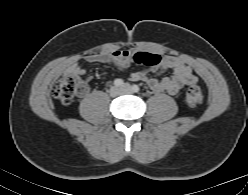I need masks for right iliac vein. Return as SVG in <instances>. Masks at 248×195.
Returning <instances> with one entry per match:
<instances>
[{
    "label": "right iliac vein",
    "instance_id": "63e3f726",
    "mask_svg": "<svg viewBox=\"0 0 248 195\" xmlns=\"http://www.w3.org/2000/svg\"><path fill=\"white\" fill-rule=\"evenodd\" d=\"M109 93H110L111 96L115 97V96H117V95H119L121 93V89L118 88V87L113 86L110 89Z\"/></svg>",
    "mask_w": 248,
    "mask_h": 195
}]
</instances>
